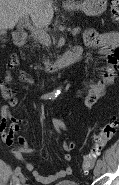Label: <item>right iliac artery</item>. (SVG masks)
I'll return each mask as SVG.
<instances>
[{
	"instance_id": "obj_1",
	"label": "right iliac artery",
	"mask_w": 119,
	"mask_h": 185,
	"mask_svg": "<svg viewBox=\"0 0 119 185\" xmlns=\"http://www.w3.org/2000/svg\"><path fill=\"white\" fill-rule=\"evenodd\" d=\"M54 97H56V94H45V95L41 96L42 99H52ZM20 172H21V168L20 167H16L15 174L19 175Z\"/></svg>"
}]
</instances>
